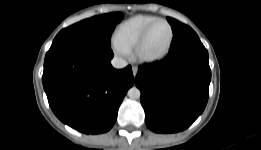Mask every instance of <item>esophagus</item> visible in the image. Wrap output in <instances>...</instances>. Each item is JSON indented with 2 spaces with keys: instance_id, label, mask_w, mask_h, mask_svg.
<instances>
[{
  "instance_id": "1",
  "label": "esophagus",
  "mask_w": 261,
  "mask_h": 150,
  "mask_svg": "<svg viewBox=\"0 0 261 150\" xmlns=\"http://www.w3.org/2000/svg\"><path fill=\"white\" fill-rule=\"evenodd\" d=\"M137 72H138V68L136 66H133L132 67V73H133L134 77L137 75Z\"/></svg>"
}]
</instances>
